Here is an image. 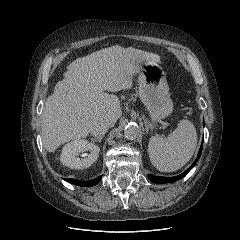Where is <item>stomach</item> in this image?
<instances>
[{"mask_svg":"<svg viewBox=\"0 0 240 240\" xmlns=\"http://www.w3.org/2000/svg\"><path fill=\"white\" fill-rule=\"evenodd\" d=\"M138 83L140 99L152 122L164 119L172 113L173 102L168 95L166 74L159 64L143 61L139 66Z\"/></svg>","mask_w":240,"mask_h":240,"instance_id":"0dacf381","label":"stomach"}]
</instances>
